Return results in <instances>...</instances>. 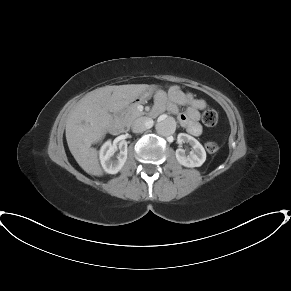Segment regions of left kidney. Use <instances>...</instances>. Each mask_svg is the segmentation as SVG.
Here are the masks:
<instances>
[{"label": "left kidney", "mask_w": 291, "mask_h": 291, "mask_svg": "<svg viewBox=\"0 0 291 291\" xmlns=\"http://www.w3.org/2000/svg\"><path fill=\"white\" fill-rule=\"evenodd\" d=\"M177 142L180 145L186 142L192 147L189 154H187L182 148L176 150V159L181 165L192 168L200 167L205 162V149L197 139L186 133H180L177 136Z\"/></svg>", "instance_id": "1"}]
</instances>
